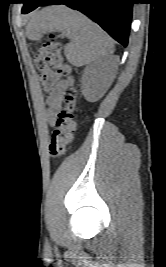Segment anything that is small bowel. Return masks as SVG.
<instances>
[{"label":"small bowel","instance_id":"obj_1","mask_svg":"<svg viewBox=\"0 0 166 267\" xmlns=\"http://www.w3.org/2000/svg\"><path fill=\"white\" fill-rule=\"evenodd\" d=\"M68 86V80H61L50 92L48 99V121L50 124H52L55 120V113L61 106L62 95Z\"/></svg>","mask_w":166,"mask_h":267}]
</instances>
